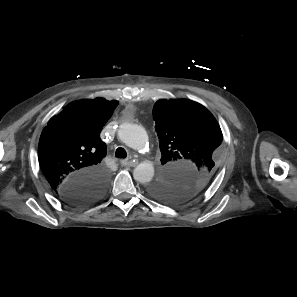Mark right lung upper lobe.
Masks as SVG:
<instances>
[{
  "instance_id": "1",
  "label": "right lung upper lobe",
  "mask_w": 297,
  "mask_h": 297,
  "mask_svg": "<svg viewBox=\"0 0 297 297\" xmlns=\"http://www.w3.org/2000/svg\"><path fill=\"white\" fill-rule=\"evenodd\" d=\"M117 105L118 101L104 98L80 100L49 120L40 137L38 156L57 194L79 173L106 170L102 159L107 148L99 134Z\"/></svg>"
}]
</instances>
